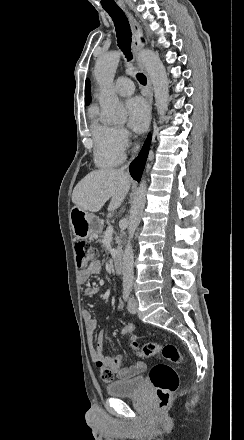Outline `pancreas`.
<instances>
[{"label":"pancreas","instance_id":"pancreas-1","mask_svg":"<svg viewBox=\"0 0 244 440\" xmlns=\"http://www.w3.org/2000/svg\"><path fill=\"white\" fill-rule=\"evenodd\" d=\"M115 240H116V244H120L121 240H119V236H118V234H116V236H115Z\"/></svg>","mask_w":244,"mask_h":440}]
</instances>
